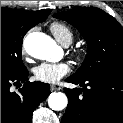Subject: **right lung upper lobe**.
Segmentation results:
<instances>
[{
    "mask_svg": "<svg viewBox=\"0 0 123 123\" xmlns=\"http://www.w3.org/2000/svg\"><path fill=\"white\" fill-rule=\"evenodd\" d=\"M15 10H17L21 16L31 15L34 17L43 18L44 20L47 18V16L51 12L50 9H43L39 11H25V10H19V9H15Z\"/></svg>",
    "mask_w": 123,
    "mask_h": 123,
    "instance_id": "1",
    "label": "right lung upper lobe"
}]
</instances>
